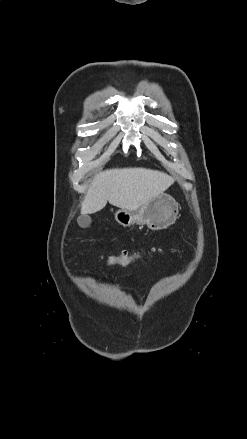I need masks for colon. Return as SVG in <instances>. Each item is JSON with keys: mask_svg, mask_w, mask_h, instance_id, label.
Instances as JSON below:
<instances>
[{"mask_svg": "<svg viewBox=\"0 0 247 439\" xmlns=\"http://www.w3.org/2000/svg\"><path fill=\"white\" fill-rule=\"evenodd\" d=\"M135 258V254L124 251L119 255L107 257V260L109 264H119L122 266H126L130 264Z\"/></svg>", "mask_w": 247, "mask_h": 439, "instance_id": "colon-1", "label": "colon"}]
</instances>
